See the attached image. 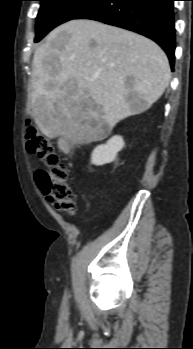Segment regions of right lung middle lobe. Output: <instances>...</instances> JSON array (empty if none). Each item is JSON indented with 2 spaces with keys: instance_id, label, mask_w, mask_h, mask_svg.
<instances>
[{
  "instance_id": "obj_1",
  "label": "right lung middle lobe",
  "mask_w": 193,
  "mask_h": 349,
  "mask_svg": "<svg viewBox=\"0 0 193 349\" xmlns=\"http://www.w3.org/2000/svg\"><path fill=\"white\" fill-rule=\"evenodd\" d=\"M41 7L36 22L35 42L56 26L74 19L96 0H38Z\"/></svg>"
}]
</instances>
